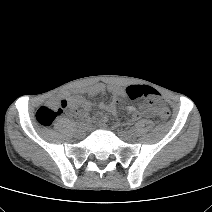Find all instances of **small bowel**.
<instances>
[{"mask_svg":"<svg viewBox=\"0 0 212 212\" xmlns=\"http://www.w3.org/2000/svg\"><path fill=\"white\" fill-rule=\"evenodd\" d=\"M85 92L91 97L102 96L109 92L112 95V100L107 103H101L100 107L103 110L111 113L112 115H116L117 105L128 96L126 89L114 85L107 87L103 83H96L94 85H91L85 89ZM66 102L69 114L72 118L81 121L89 120V112L92 107L91 101H89L82 95L74 94L69 96ZM152 114V107L145 104H141L139 108L129 107L127 109L126 119L127 121H134L142 116H151ZM106 120L107 118H103L102 122H106Z\"/></svg>","mask_w":212,"mask_h":212,"instance_id":"1","label":"small bowel"}]
</instances>
